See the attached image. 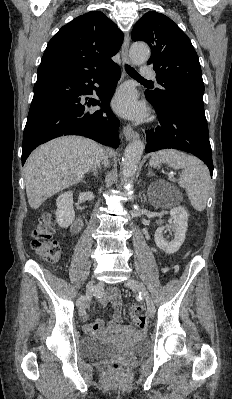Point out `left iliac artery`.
Masks as SVG:
<instances>
[{"label":"left iliac artery","instance_id":"44dca946","mask_svg":"<svg viewBox=\"0 0 232 399\" xmlns=\"http://www.w3.org/2000/svg\"><path fill=\"white\" fill-rule=\"evenodd\" d=\"M145 297V294L142 290L138 291L137 295H136V299L137 300H143Z\"/></svg>","mask_w":232,"mask_h":399}]
</instances>
